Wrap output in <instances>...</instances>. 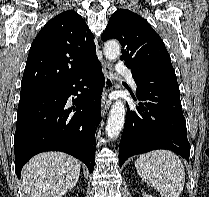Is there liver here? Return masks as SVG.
<instances>
[{"label":"liver","mask_w":209,"mask_h":197,"mask_svg":"<svg viewBox=\"0 0 209 197\" xmlns=\"http://www.w3.org/2000/svg\"><path fill=\"white\" fill-rule=\"evenodd\" d=\"M81 163L62 152L34 156L22 171L24 197H62L77 183Z\"/></svg>","instance_id":"obj_1"}]
</instances>
